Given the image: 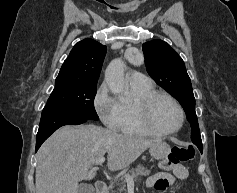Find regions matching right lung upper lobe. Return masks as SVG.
<instances>
[{
    "instance_id": "1",
    "label": "right lung upper lobe",
    "mask_w": 237,
    "mask_h": 193,
    "mask_svg": "<svg viewBox=\"0 0 237 193\" xmlns=\"http://www.w3.org/2000/svg\"><path fill=\"white\" fill-rule=\"evenodd\" d=\"M106 46L86 38L73 47L56 79L97 83Z\"/></svg>"
}]
</instances>
